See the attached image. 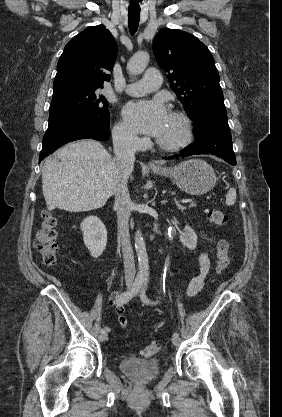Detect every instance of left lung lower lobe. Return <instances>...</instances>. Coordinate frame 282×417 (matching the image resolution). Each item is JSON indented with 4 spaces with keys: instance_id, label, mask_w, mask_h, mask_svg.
<instances>
[{
    "instance_id": "0a47b994",
    "label": "left lung lower lobe",
    "mask_w": 282,
    "mask_h": 417,
    "mask_svg": "<svg viewBox=\"0 0 282 417\" xmlns=\"http://www.w3.org/2000/svg\"><path fill=\"white\" fill-rule=\"evenodd\" d=\"M194 135L196 143L190 144L180 154L164 159L213 154L223 158L231 165H236L225 108L207 110L201 113L200 119L194 123Z\"/></svg>"
}]
</instances>
